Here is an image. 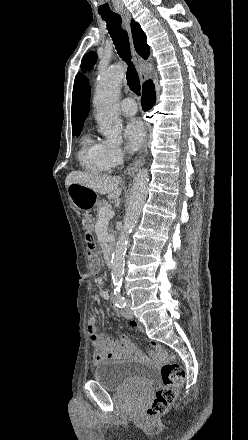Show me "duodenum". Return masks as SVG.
I'll return each mask as SVG.
<instances>
[{
    "instance_id": "410a0bca",
    "label": "duodenum",
    "mask_w": 248,
    "mask_h": 440,
    "mask_svg": "<svg viewBox=\"0 0 248 440\" xmlns=\"http://www.w3.org/2000/svg\"><path fill=\"white\" fill-rule=\"evenodd\" d=\"M114 252H115V245L113 243H110L107 247V262H108V264H110Z\"/></svg>"
}]
</instances>
